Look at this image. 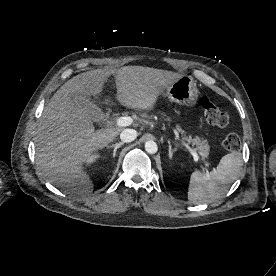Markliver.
<instances>
[{"mask_svg": "<svg viewBox=\"0 0 276 276\" xmlns=\"http://www.w3.org/2000/svg\"><path fill=\"white\" fill-rule=\"evenodd\" d=\"M110 75L116 78L117 100L127 108L151 110L167 87L183 75L143 66L91 70L68 80L51 98L37 124L36 161L49 182L79 195L91 192L83 164L95 151L113 142L121 131H95L93 121L76 107L72 94L99 96Z\"/></svg>", "mask_w": 276, "mask_h": 276, "instance_id": "1", "label": "liver"}]
</instances>
